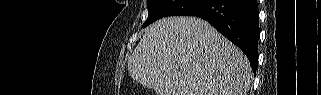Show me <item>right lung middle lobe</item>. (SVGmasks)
<instances>
[{
    "instance_id": "right-lung-middle-lobe-1",
    "label": "right lung middle lobe",
    "mask_w": 321,
    "mask_h": 95,
    "mask_svg": "<svg viewBox=\"0 0 321 95\" xmlns=\"http://www.w3.org/2000/svg\"><path fill=\"white\" fill-rule=\"evenodd\" d=\"M208 0H148V18L143 28L167 16H189Z\"/></svg>"
}]
</instances>
